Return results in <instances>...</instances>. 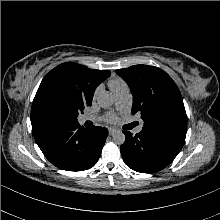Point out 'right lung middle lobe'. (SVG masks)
<instances>
[{"mask_svg": "<svg viewBox=\"0 0 220 220\" xmlns=\"http://www.w3.org/2000/svg\"><path fill=\"white\" fill-rule=\"evenodd\" d=\"M91 102L84 100L72 87L54 82L44 99L45 111L67 124L76 123L78 114Z\"/></svg>", "mask_w": 220, "mask_h": 220, "instance_id": "1", "label": "right lung middle lobe"}]
</instances>
